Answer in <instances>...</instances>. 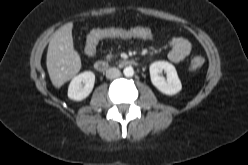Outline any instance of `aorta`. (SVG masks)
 Masks as SVG:
<instances>
[{
    "instance_id": "762f6f07",
    "label": "aorta",
    "mask_w": 248,
    "mask_h": 165,
    "mask_svg": "<svg viewBox=\"0 0 248 165\" xmlns=\"http://www.w3.org/2000/svg\"><path fill=\"white\" fill-rule=\"evenodd\" d=\"M123 73L126 77H132L134 75V69L131 66L125 67Z\"/></svg>"
}]
</instances>
